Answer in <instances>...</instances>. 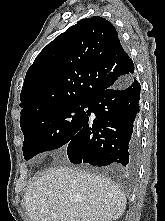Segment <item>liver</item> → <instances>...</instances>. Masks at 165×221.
Segmentation results:
<instances>
[{
    "mask_svg": "<svg viewBox=\"0 0 165 221\" xmlns=\"http://www.w3.org/2000/svg\"><path fill=\"white\" fill-rule=\"evenodd\" d=\"M24 207L30 221H112L124 213L126 197L105 176L59 167L34 176Z\"/></svg>",
    "mask_w": 165,
    "mask_h": 221,
    "instance_id": "6515ba94",
    "label": "liver"
}]
</instances>
